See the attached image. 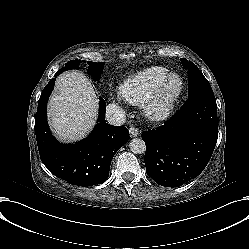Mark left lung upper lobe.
Wrapping results in <instances>:
<instances>
[{"mask_svg": "<svg viewBox=\"0 0 249 249\" xmlns=\"http://www.w3.org/2000/svg\"><path fill=\"white\" fill-rule=\"evenodd\" d=\"M180 60L184 68L188 70V97L203 93L213 94V90L208 80L204 77L198 67L191 61L188 62L185 58H181Z\"/></svg>", "mask_w": 249, "mask_h": 249, "instance_id": "5c2ea615", "label": "left lung upper lobe"}]
</instances>
